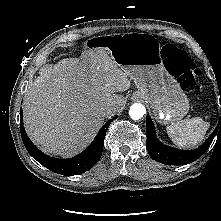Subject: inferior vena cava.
Segmentation results:
<instances>
[{
  "mask_svg": "<svg viewBox=\"0 0 221 221\" xmlns=\"http://www.w3.org/2000/svg\"><path fill=\"white\" fill-rule=\"evenodd\" d=\"M119 110V106L115 104H110L104 108V115L111 116Z\"/></svg>",
  "mask_w": 221,
  "mask_h": 221,
  "instance_id": "inferior-vena-cava-1",
  "label": "inferior vena cava"
}]
</instances>
